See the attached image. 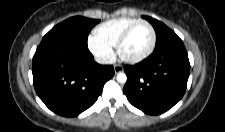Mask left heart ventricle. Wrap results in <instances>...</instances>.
Listing matches in <instances>:
<instances>
[{
    "label": "left heart ventricle",
    "mask_w": 225,
    "mask_h": 132,
    "mask_svg": "<svg viewBox=\"0 0 225 132\" xmlns=\"http://www.w3.org/2000/svg\"><path fill=\"white\" fill-rule=\"evenodd\" d=\"M151 41V31L146 24L137 25L129 35L123 45L122 52L125 56L135 57L149 47Z\"/></svg>",
    "instance_id": "left-heart-ventricle-1"
}]
</instances>
